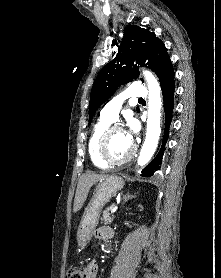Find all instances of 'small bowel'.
<instances>
[{
	"label": "small bowel",
	"mask_w": 221,
	"mask_h": 278,
	"mask_svg": "<svg viewBox=\"0 0 221 278\" xmlns=\"http://www.w3.org/2000/svg\"><path fill=\"white\" fill-rule=\"evenodd\" d=\"M99 236L102 238L112 237L113 231L110 228L107 227H101L98 230ZM84 272L86 274V278H96L97 272H98V264L96 261L91 260L89 261L85 267Z\"/></svg>",
	"instance_id": "1"
}]
</instances>
